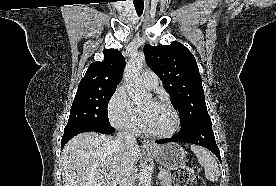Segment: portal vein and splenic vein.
I'll return each instance as SVG.
<instances>
[{
	"mask_svg": "<svg viewBox=\"0 0 276 186\" xmlns=\"http://www.w3.org/2000/svg\"><path fill=\"white\" fill-rule=\"evenodd\" d=\"M163 176H164V173H163V172H159V173H158V178H159V179H162Z\"/></svg>",
	"mask_w": 276,
	"mask_h": 186,
	"instance_id": "1",
	"label": "portal vein and splenic vein"
}]
</instances>
